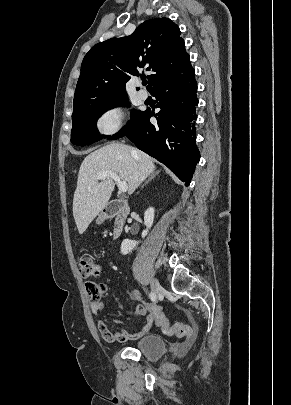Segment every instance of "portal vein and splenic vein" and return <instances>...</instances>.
<instances>
[{"instance_id":"1","label":"portal vein and splenic vein","mask_w":291,"mask_h":405,"mask_svg":"<svg viewBox=\"0 0 291 405\" xmlns=\"http://www.w3.org/2000/svg\"><path fill=\"white\" fill-rule=\"evenodd\" d=\"M106 178H111L115 181L118 186L119 192H126L128 190V184L125 181H121L116 173L112 171H105L97 174V179L99 180H104Z\"/></svg>"}]
</instances>
